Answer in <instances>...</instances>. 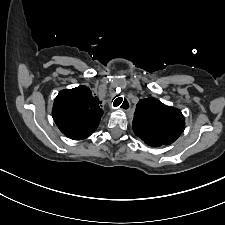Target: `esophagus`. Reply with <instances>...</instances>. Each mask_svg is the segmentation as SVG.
Returning <instances> with one entry per match:
<instances>
[{"mask_svg":"<svg viewBox=\"0 0 225 225\" xmlns=\"http://www.w3.org/2000/svg\"><path fill=\"white\" fill-rule=\"evenodd\" d=\"M117 98H119V97H117ZM117 98H115L114 100H113V102L111 103V107L113 108V109H117V108H120L121 107V109L123 110V111H129V109H130V103H129V101L128 100H126V99H123L122 100V103L119 105V106H115V100L117 99ZM124 100H126V102L128 103V107H123V102H124Z\"/></svg>","mask_w":225,"mask_h":225,"instance_id":"esophagus-1","label":"esophagus"}]
</instances>
